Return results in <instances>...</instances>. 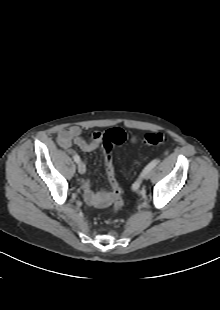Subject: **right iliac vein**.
Here are the masks:
<instances>
[{
    "label": "right iliac vein",
    "mask_w": 220,
    "mask_h": 310,
    "mask_svg": "<svg viewBox=\"0 0 220 310\" xmlns=\"http://www.w3.org/2000/svg\"><path fill=\"white\" fill-rule=\"evenodd\" d=\"M78 172L80 174H84L86 172V166L84 163H82V162L78 163Z\"/></svg>",
    "instance_id": "1"
}]
</instances>
